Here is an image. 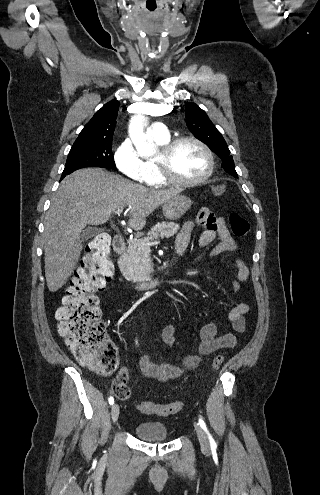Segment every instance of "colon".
Masks as SVG:
<instances>
[{
  "instance_id": "colon-1",
  "label": "colon",
  "mask_w": 320,
  "mask_h": 495,
  "mask_svg": "<svg viewBox=\"0 0 320 495\" xmlns=\"http://www.w3.org/2000/svg\"><path fill=\"white\" fill-rule=\"evenodd\" d=\"M226 190L224 184L214 188L216 194ZM231 230L235 236L247 234L249 224L238 213L229 215ZM110 243L106 236L97 237L87 248L82 267L68 287L63 305L56 312L58 332L65 339L67 346L77 358L94 371L108 375L118 367L116 347L106 340L105 325L101 319V311L95 292L102 291L113 275V264L109 259ZM223 355H217L212 368L218 370ZM128 376L119 374L112 383L116 398L127 400L130 390L127 386ZM183 407L181 401L166 404L143 401L137 409L144 414L169 416L178 413Z\"/></svg>"
}]
</instances>
